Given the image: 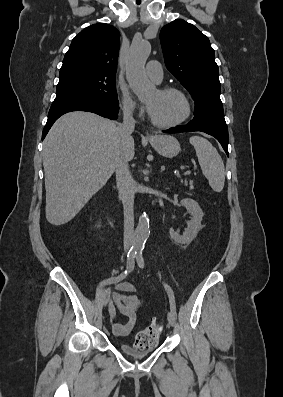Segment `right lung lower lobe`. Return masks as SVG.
<instances>
[{
    "mask_svg": "<svg viewBox=\"0 0 283 397\" xmlns=\"http://www.w3.org/2000/svg\"><path fill=\"white\" fill-rule=\"evenodd\" d=\"M71 111H88L112 120L117 119L119 105H106L96 101L70 98L54 100L48 113V120L43 129L42 140L45 138L53 123L63 114Z\"/></svg>",
    "mask_w": 283,
    "mask_h": 397,
    "instance_id": "98d812e1",
    "label": "right lung lower lobe"
}]
</instances>
